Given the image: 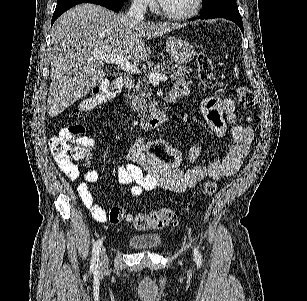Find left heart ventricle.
<instances>
[{"mask_svg":"<svg viewBox=\"0 0 307 301\" xmlns=\"http://www.w3.org/2000/svg\"><path fill=\"white\" fill-rule=\"evenodd\" d=\"M193 0H166L168 11H188Z\"/></svg>","mask_w":307,"mask_h":301,"instance_id":"1","label":"left heart ventricle"}]
</instances>
